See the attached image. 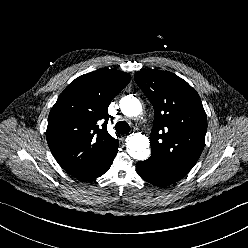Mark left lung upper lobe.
<instances>
[{
  "label": "left lung upper lobe",
  "instance_id": "1",
  "mask_svg": "<svg viewBox=\"0 0 248 248\" xmlns=\"http://www.w3.org/2000/svg\"><path fill=\"white\" fill-rule=\"evenodd\" d=\"M135 81L155 111L151 156L186 176L205 144L207 117L198 93L168 71H138Z\"/></svg>",
  "mask_w": 248,
  "mask_h": 248
}]
</instances>
